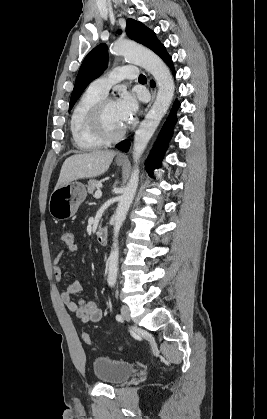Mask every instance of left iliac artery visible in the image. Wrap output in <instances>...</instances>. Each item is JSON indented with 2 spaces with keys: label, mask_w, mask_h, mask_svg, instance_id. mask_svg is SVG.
<instances>
[{
  "label": "left iliac artery",
  "mask_w": 267,
  "mask_h": 419,
  "mask_svg": "<svg viewBox=\"0 0 267 419\" xmlns=\"http://www.w3.org/2000/svg\"><path fill=\"white\" fill-rule=\"evenodd\" d=\"M116 320L119 322H123V317L120 314L116 315Z\"/></svg>",
  "instance_id": "1"
}]
</instances>
